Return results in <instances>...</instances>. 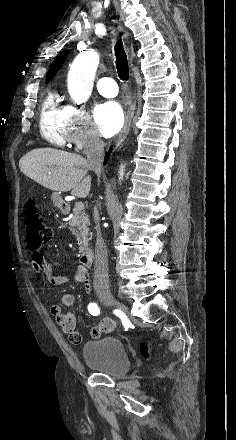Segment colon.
<instances>
[{
	"label": "colon",
	"mask_w": 236,
	"mask_h": 440,
	"mask_svg": "<svg viewBox=\"0 0 236 440\" xmlns=\"http://www.w3.org/2000/svg\"><path fill=\"white\" fill-rule=\"evenodd\" d=\"M24 222L26 227V240L29 247L39 248L43 243L49 241L51 229L45 223L43 217L34 206H29L24 212ZM141 353H149V345L143 343Z\"/></svg>",
	"instance_id": "5ec220e1"
}]
</instances>
